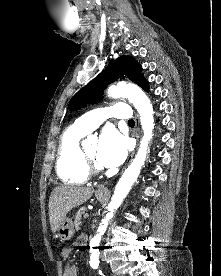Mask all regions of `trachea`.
<instances>
[{"mask_svg":"<svg viewBox=\"0 0 221 276\" xmlns=\"http://www.w3.org/2000/svg\"><path fill=\"white\" fill-rule=\"evenodd\" d=\"M128 124L134 125V124H135V123H134V120H129V121H128Z\"/></svg>","mask_w":221,"mask_h":276,"instance_id":"obj_1","label":"trachea"}]
</instances>
